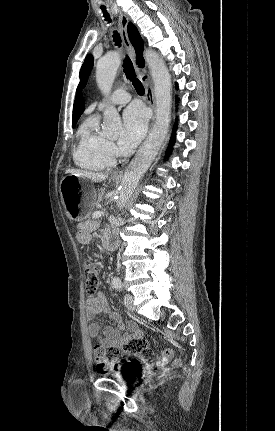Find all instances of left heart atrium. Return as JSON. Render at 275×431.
<instances>
[{"instance_id":"left-heart-atrium-1","label":"left heart atrium","mask_w":275,"mask_h":431,"mask_svg":"<svg viewBox=\"0 0 275 431\" xmlns=\"http://www.w3.org/2000/svg\"><path fill=\"white\" fill-rule=\"evenodd\" d=\"M147 129V113L138 104L129 106L123 113V130L119 137L122 149L135 148L142 140Z\"/></svg>"}]
</instances>
